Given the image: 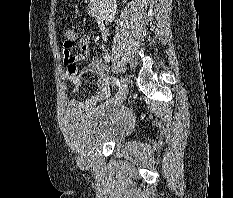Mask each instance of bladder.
I'll use <instances>...</instances> for the list:
<instances>
[{"label":"bladder","instance_id":"31cf9c89","mask_svg":"<svg viewBox=\"0 0 233 198\" xmlns=\"http://www.w3.org/2000/svg\"><path fill=\"white\" fill-rule=\"evenodd\" d=\"M132 122L129 110L105 104L85 113L68 110L62 124L67 141L84 154L105 142L119 141Z\"/></svg>","mask_w":233,"mask_h":198}]
</instances>
